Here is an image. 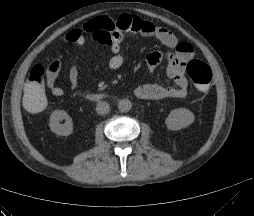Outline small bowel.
I'll list each match as a JSON object with an SVG mask.
<instances>
[{
    "label": "small bowel",
    "instance_id": "1",
    "mask_svg": "<svg viewBox=\"0 0 254 216\" xmlns=\"http://www.w3.org/2000/svg\"><path fill=\"white\" fill-rule=\"evenodd\" d=\"M90 31H105L110 35L109 49L112 56L109 60V68L118 70L124 63L121 54V43L124 33L133 32L144 37L155 38L164 46L171 50L168 55L160 52H152L147 56V72L153 71L165 63L167 76L174 81V87H165L155 83H144L138 86L134 93L139 99L161 100L167 98H184L188 93V82L185 77L186 63L193 57V46L179 40L170 30L158 26L153 22L134 18L131 16H122L117 21L100 17L87 22L82 28L74 29L68 32L64 38L65 43L84 45L86 43V34ZM58 70L48 68L46 71V85L54 97H61L64 90L57 85ZM68 80L71 87L76 88L79 84V72L76 64L71 65L68 72Z\"/></svg>",
    "mask_w": 254,
    "mask_h": 216
}]
</instances>
